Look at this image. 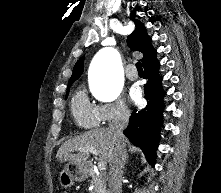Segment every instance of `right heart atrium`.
I'll use <instances>...</instances> for the list:
<instances>
[{
  "instance_id": "1",
  "label": "right heart atrium",
  "mask_w": 221,
  "mask_h": 193,
  "mask_svg": "<svg viewBox=\"0 0 221 193\" xmlns=\"http://www.w3.org/2000/svg\"><path fill=\"white\" fill-rule=\"evenodd\" d=\"M97 107L100 122L103 124L126 119L130 114L128 105L121 98H117L109 103L100 104Z\"/></svg>"
}]
</instances>
